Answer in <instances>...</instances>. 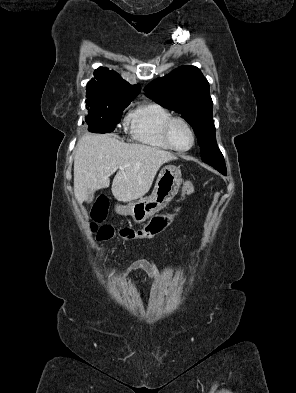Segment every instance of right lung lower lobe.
Wrapping results in <instances>:
<instances>
[{
	"label": "right lung lower lobe",
	"instance_id": "obj_1",
	"mask_svg": "<svg viewBox=\"0 0 296 393\" xmlns=\"http://www.w3.org/2000/svg\"><path fill=\"white\" fill-rule=\"evenodd\" d=\"M92 132H95V133H100V132H96V131H92Z\"/></svg>",
	"mask_w": 296,
	"mask_h": 393
}]
</instances>
